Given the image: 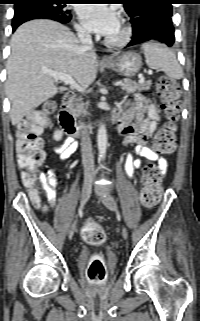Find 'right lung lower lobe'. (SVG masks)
Masks as SVG:
<instances>
[{"label":"right lung lower lobe","mask_w":200,"mask_h":321,"mask_svg":"<svg viewBox=\"0 0 200 321\" xmlns=\"http://www.w3.org/2000/svg\"><path fill=\"white\" fill-rule=\"evenodd\" d=\"M72 16L67 14H57L56 12L42 7H24L14 11L12 19V32L22 23L32 19H51L62 24L70 22Z\"/></svg>","instance_id":"obj_1"}]
</instances>
